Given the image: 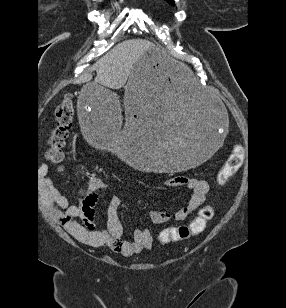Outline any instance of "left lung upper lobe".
Returning a JSON list of instances; mask_svg holds the SVG:
<instances>
[{
    "label": "left lung upper lobe",
    "mask_w": 286,
    "mask_h": 308,
    "mask_svg": "<svg viewBox=\"0 0 286 308\" xmlns=\"http://www.w3.org/2000/svg\"><path fill=\"white\" fill-rule=\"evenodd\" d=\"M166 1L169 2L171 5H175L174 0H166Z\"/></svg>",
    "instance_id": "obj_1"
}]
</instances>
